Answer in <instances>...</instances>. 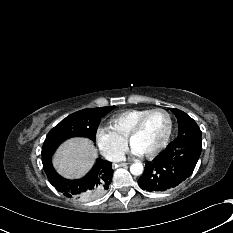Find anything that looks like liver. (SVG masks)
<instances>
[{
	"label": "liver",
	"instance_id": "6515ba94",
	"mask_svg": "<svg viewBox=\"0 0 233 233\" xmlns=\"http://www.w3.org/2000/svg\"><path fill=\"white\" fill-rule=\"evenodd\" d=\"M97 151L87 138H73L64 142L53 157V164L65 178H80L93 166Z\"/></svg>",
	"mask_w": 233,
	"mask_h": 233
}]
</instances>
